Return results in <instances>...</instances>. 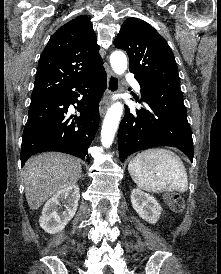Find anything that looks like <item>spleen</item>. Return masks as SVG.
Instances as JSON below:
<instances>
[{
  "label": "spleen",
  "mask_w": 221,
  "mask_h": 274,
  "mask_svg": "<svg viewBox=\"0 0 221 274\" xmlns=\"http://www.w3.org/2000/svg\"><path fill=\"white\" fill-rule=\"evenodd\" d=\"M128 171L135 184L147 192H185L188 177L185 166L174 152L153 148L138 153L128 165Z\"/></svg>",
  "instance_id": "obj_1"
}]
</instances>
